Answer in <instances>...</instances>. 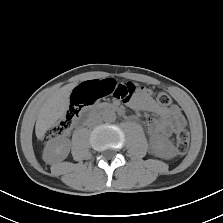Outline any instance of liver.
Returning <instances> with one entry per match:
<instances>
[{
    "label": "liver",
    "instance_id": "1",
    "mask_svg": "<svg viewBox=\"0 0 223 223\" xmlns=\"http://www.w3.org/2000/svg\"><path fill=\"white\" fill-rule=\"evenodd\" d=\"M75 85L67 84L63 86L42 105L35 125V133L39 140H42L46 131L65 115L69 107L70 93Z\"/></svg>",
    "mask_w": 223,
    "mask_h": 223
}]
</instances>
